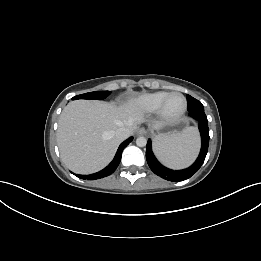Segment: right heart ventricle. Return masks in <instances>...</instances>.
<instances>
[{
    "label": "right heart ventricle",
    "mask_w": 261,
    "mask_h": 261,
    "mask_svg": "<svg viewBox=\"0 0 261 261\" xmlns=\"http://www.w3.org/2000/svg\"><path fill=\"white\" fill-rule=\"evenodd\" d=\"M167 94L165 91L143 94L132 101V106L143 113H155Z\"/></svg>",
    "instance_id": "e07e8e85"
}]
</instances>
